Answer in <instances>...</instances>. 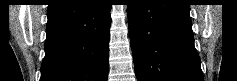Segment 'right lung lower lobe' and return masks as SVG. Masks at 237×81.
<instances>
[{
  "mask_svg": "<svg viewBox=\"0 0 237 81\" xmlns=\"http://www.w3.org/2000/svg\"><path fill=\"white\" fill-rule=\"evenodd\" d=\"M110 9L107 0L48 7L40 81H107Z\"/></svg>",
  "mask_w": 237,
  "mask_h": 81,
  "instance_id": "98d812e1",
  "label": "right lung lower lobe"
}]
</instances>
